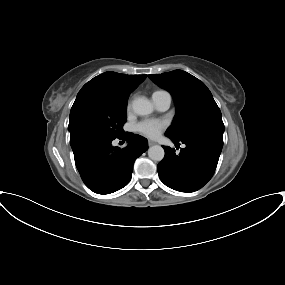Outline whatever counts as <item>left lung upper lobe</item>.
<instances>
[{
	"label": "left lung upper lobe",
	"mask_w": 285,
	"mask_h": 285,
	"mask_svg": "<svg viewBox=\"0 0 285 285\" xmlns=\"http://www.w3.org/2000/svg\"><path fill=\"white\" fill-rule=\"evenodd\" d=\"M148 76L173 95L177 106L165 135L178 141L201 135L223 139L225 127L220 109L202 81L182 70Z\"/></svg>",
	"instance_id": "5c2ea615"
}]
</instances>
